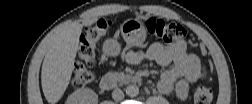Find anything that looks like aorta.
Returning <instances> with one entry per match:
<instances>
[{"label":"aorta","instance_id":"762f6f07","mask_svg":"<svg viewBox=\"0 0 252 104\" xmlns=\"http://www.w3.org/2000/svg\"><path fill=\"white\" fill-rule=\"evenodd\" d=\"M126 94L129 97H136L139 94V87L135 84H130L126 87Z\"/></svg>","mask_w":252,"mask_h":104}]
</instances>
